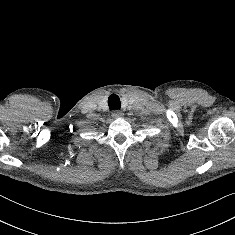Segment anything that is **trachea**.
I'll use <instances>...</instances> for the list:
<instances>
[{"label":"trachea","instance_id":"trachea-1","mask_svg":"<svg viewBox=\"0 0 235 235\" xmlns=\"http://www.w3.org/2000/svg\"><path fill=\"white\" fill-rule=\"evenodd\" d=\"M108 105L111 110L120 109L121 102H120V98L118 97V95L116 94L110 95L108 98Z\"/></svg>","mask_w":235,"mask_h":235}]
</instances>
